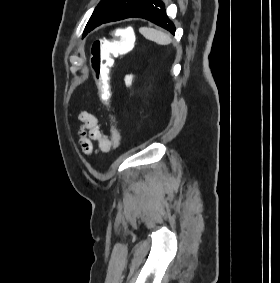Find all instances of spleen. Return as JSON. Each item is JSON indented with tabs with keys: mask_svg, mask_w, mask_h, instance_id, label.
<instances>
[{
	"mask_svg": "<svg viewBox=\"0 0 280 283\" xmlns=\"http://www.w3.org/2000/svg\"><path fill=\"white\" fill-rule=\"evenodd\" d=\"M139 32L148 40L154 41L159 45H168L172 42L171 37L164 33L163 31L148 28V27H141L139 28Z\"/></svg>",
	"mask_w": 280,
	"mask_h": 283,
	"instance_id": "obj_1",
	"label": "spleen"
}]
</instances>
